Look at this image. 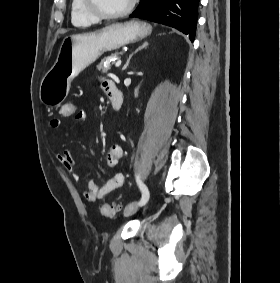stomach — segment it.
<instances>
[{
  "mask_svg": "<svg viewBox=\"0 0 280 283\" xmlns=\"http://www.w3.org/2000/svg\"><path fill=\"white\" fill-rule=\"evenodd\" d=\"M152 27L143 21L114 23L100 30L66 36L53 67L43 77L39 97L49 107L61 105L71 81L106 52L147 37Z\"/></svg>",
  "mask_w": 280,
  "mask_h": 283,
  "instance_id": "obj_1",
  "label": "stomach"
}]
</instances>
